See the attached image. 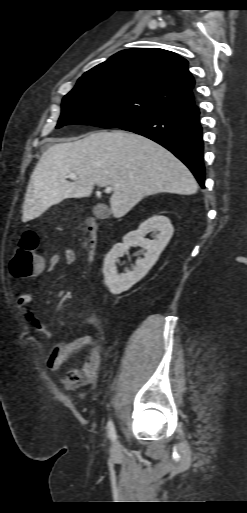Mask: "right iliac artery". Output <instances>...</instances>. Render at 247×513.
I'll return each mask as SVG.
<instances>
[{
    "mask_svg": "<svg viewBox=\"0 0 247 513\" xmlns=\"http://www.w3.org/2000/svg\"><path fill=\"white\" fill-rule=\"evenodd\" d=\"M107 433L110 440L115 441L116 439V431L112 421H109L107 424Z\"/></svg>",
    "mask_w": 247,
    "mask_h": 513,
    "instance_id": "1",
    "label": "right iliac artery"
}]
</instances>
